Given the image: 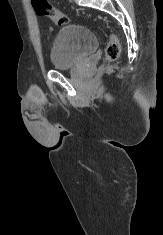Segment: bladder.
<instances>
[{
    "instance_id": "31cf9c89",
    "label": "bladder",
    "mask_w": 163,
    "mask_h": 235,
    "mask_svg": "<svg viewBox=\"0 0 163 235\" xmlns=\"http://www.w3.org/2000/svg\"><path fill=\"white\" fill-rule=\"evenodd\" d=\"M98 46L96 34L81 24L60 29L52 43L50 58L54 69H69L78 65Z\"/></svg>"
}]
</instances>
